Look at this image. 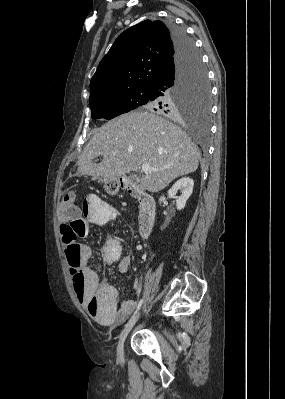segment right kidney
<instances>
[{
    "label": "right kidney",
    "instance_id": "ca27d5eb",
    "mask_svg": "<svg viewBox=\"0 0 285 399\" xmlns=\"http://www.w3.org/2000/svg\"><path fill=\"white\" fill-rule=\"evenodd\" d=\"M194 181L191 178L184 177L179 179L169 190V195H174L177 191H181V195L176 198V208L177 210H182L189 197L193 192ZM165 201V197L161 196L159 199L160 204Z\"/></svg>",
    "mask_w": 285,
    "mask_h": 399
}]
</instances>
